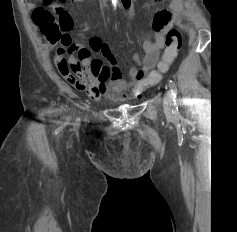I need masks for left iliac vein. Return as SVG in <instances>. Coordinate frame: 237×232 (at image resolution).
<instances>
[{
	"label": "left iliac vein",
	"mask_w": 237,
	"mask_h": 232,
	"mask_svg": "<svg viewBox=\"0 0 237 232\" xmlns=\"http://www.w3.org/2000/svg\"><path fill=\"white\" fill-rule=\"evenodd\" d=\"M172 100H173L172 94L170 91H168L164 97V109L167 112H170L172 109Z\"/></svg>",
	"instance_id": "left-iliac-vein-1"
}]
</instances>
